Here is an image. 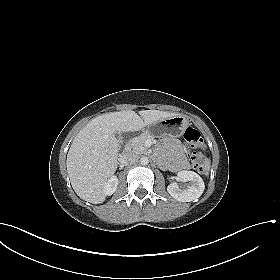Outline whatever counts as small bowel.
Returning a JSON list of instances; mask_svg holds the SVG:
<instances>
[{"instance_id": "small-bowel-1", "label": "small bowel", "mask_w": 280, "mask_h": 280, "mask_svg": "<svg viewBox=\"0 0 280 280\" xmlns=\"http://www.w3.org/2000/svg\"><path fill=\"white\" fill-rule=\"evenodd\" d=\"M184 149L181 145L174 143L172 145V152H173V160L167 163V167L175 170V171H182L187 169V162L182 157Z\"/></svg>"}]
</instances>
